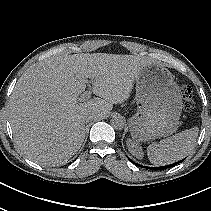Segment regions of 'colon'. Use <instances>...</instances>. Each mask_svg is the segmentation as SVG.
<instances>
[{
    "label": "colon",
    "instance_id": "colon-1",
    "mask_svg": "<svg viewBox=\"0 0 211 211\" xmlns=\"http://www.w3.org/2000/svg\"><path fill=\"white\" fill-rule=\"evenodd\" d=\"M181 95L184 100L185 108L187 110H192L194 106V101H193V91L192 88L189 85H182L181 87Z\"/></svg>",
    "mask_w": 211,
    "mask_h": 211
}]
</instances>
